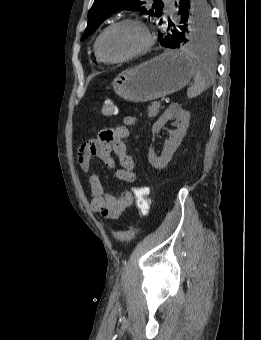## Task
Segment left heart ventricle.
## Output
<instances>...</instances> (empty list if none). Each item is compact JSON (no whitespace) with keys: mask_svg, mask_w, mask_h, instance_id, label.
<instances>
[{"mask_svg":"<svg viewBox=\"0 0 261 340\" xmlns=\"http://www.w3.org/2000/svg\"><path fill=\"white\" fill-rule=\"evenodd\" d=\"M144 42L142 31L131 24L110 29L102 38L100 50L104 57L115 59L132 53Z\"/></svg>","mask_w":261,"mask_h":340,"instance_id":"b2bd125f","label":"left heart ventricle"}]
</instances>
